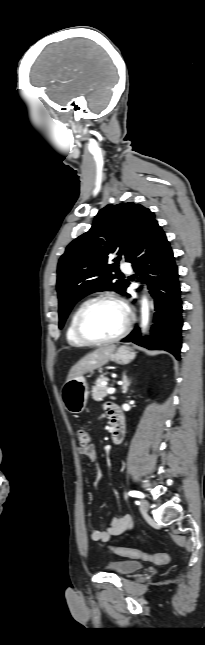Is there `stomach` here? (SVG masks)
<instances>
[{"instance_id": "0dacf381", "label": "stomach", "mask_w": 205, "mask_h": 645, "mask_svg": "<svg viewBox=\"0 0 205 645\" xmlns=\"http://www.w3.org/2000/svg\"><path fill=\"white\" fill-rule=\"evenodd\" d=\"M136 356L132 348L121 346L111 356L118 364H129ZM88 384L85 377L78 376L67 380L62 386V400L66 410L73 414L81 413L88 400Z\"/></svg>"}]
</instances>
